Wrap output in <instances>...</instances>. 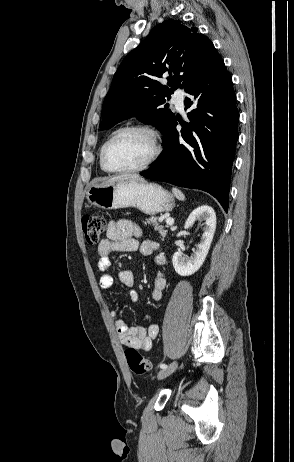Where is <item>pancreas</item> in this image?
Returning a JSON list of instances; mask_svg holds the SVG:
<instances>
[{"mask_svg": "<svg viewBox=\"0 0 294 462\" xmlns=\"http://www.w3.org/2000/svg\"><path fill=\"white\" fill-rule=\"evenodd\" d=\"M158 219H159V217H151V218L147 219V223L154 226L155 230L158 231L161 234V236L164 237L166 235L167 231L164 230V227L161 224L158 223V221H157Z\"/></svg>", "mask_w": 294, "mask_h": 462, "instance_id": "cf45deb5", "label": "pancreas"}]
</instances>
